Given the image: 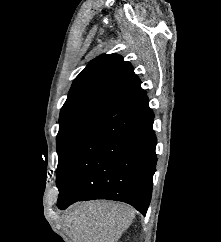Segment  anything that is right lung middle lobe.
<instances>
[{
  "instance_id": "right-lung-middle-lobe-1",
  "label": "right lung middle lobe",
  "mask_w": 221,
  "mask_h": 242,
  "mask_svg": "<svg viewBox=\"0 0 221 242\" xmlns=\"http://www.w3.org/2000/svg\"><path fill=\"white\" fill-rule=\"evenodd\" d=\"M97 122H81L72 125H67L59 128L56 138L58 167L57 180L58 183L66 165L70 158L83 143V141L100 125Z\"/></svg>"
}]
</instances>
